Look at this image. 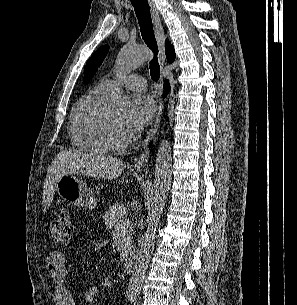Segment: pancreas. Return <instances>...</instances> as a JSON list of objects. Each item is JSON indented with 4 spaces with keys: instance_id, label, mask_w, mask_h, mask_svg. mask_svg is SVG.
Segmentation results:
<instances>
[{
    "instance_id": "1",
    "label": "pancreas",
    "mask_w": 297,
    "mask_h": 305,
    "mask_svg": "<svg viewBox=\"0 0 297 305\" xmlns=\"http://www.w3.org/2000/svg\"><path fill=\"white\" fill-rule=\"evenodd\" d=\"M125 207L122 204H115L106 211L104 222L108 229L112 230L113 236H122L121 258H125L132 248V232L133 226L127 219V213L124 212Z\"/></svg>"
}]
</instances>
